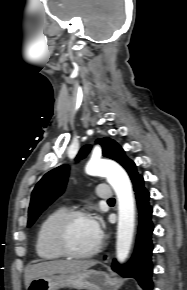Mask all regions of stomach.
<instances>
[{
    "label": "stomach",
    "instance_id": "1",
    "mask_svg": "<svg viewBox=\"0 0 187 290\" xmlns=\"http://www.w3.org/2000/svg\"><path fill=\"white\" fill-rule=\"evenodd\" d=\"M71 287L78 290H117L119 281L109 274L93 269L74 273H58L33 279L27 290H58Z\"/></svg>",
    "mask_w": 187,
    "mask_h": 290
}]
</instances>
